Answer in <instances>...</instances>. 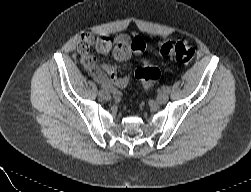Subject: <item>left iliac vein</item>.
I'll list each match as a JSON object with an SVG mask.
<instances>
[{
    "label": "left iliac vein",
    "instance_id": "obj_1",
    "mask_svg": "<svg viewBox=\"0 0 251 192\" xmlns=\"http://www.w3.org/2000/svg\"><path fill=\"white\" fill-rule=\"evenodd\" d=\"M168 99H169L168 93L162 92V93H160V94L158 95V97H157V102H158L159 104H164V103H166V102L168 101Z\"/></svg>",
    "mask_w": 251,
    "mask_h": 192
}]
</instances>
